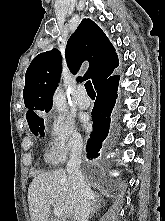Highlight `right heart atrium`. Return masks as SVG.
<instances>
[{"label": "right heart atrium", "mask_w": 165, "mask_h": 221, "mask_svg": "<svg viewBox=\"0 0 165 221\" xmlns=\"http://www.w3.org/2000/svg\"><path fill=\"white\" fill-rule=\"evenodd\" d=\"M47 157L55 163H63L84 146L82 135L73 121L63 115H53L48 130Z\"/></svg>", "instance_id": "d8ad5b80"}]
</instances>
